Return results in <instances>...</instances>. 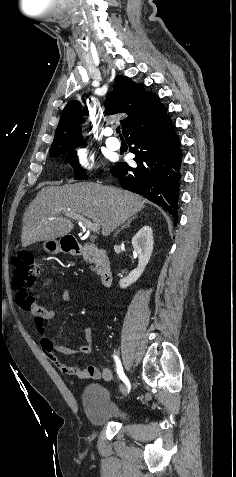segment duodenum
Segmentation results:
<instances>
[{
	"instance_id": "1",
	"label": "duodenum",
	"mask_w": 236,
	"mask_h": 477,
	"mask_svg": "<svg viewBox=\"0 0 236 477\" xmlns=\"http://www.w3.org/2000/svg\"><path fill=\"white\" fill-rule=\"evenodd\" d=\"M65 248L68 250H72L77 254H82L84 252V248L80 242L74 239H65ZM96 254L99 258L100 263V281L102 286L109 287L112 284L113 280V271L110 263L107 261L105 252L101 249L96 251Z\"/></svg>"
}]
</instances>
